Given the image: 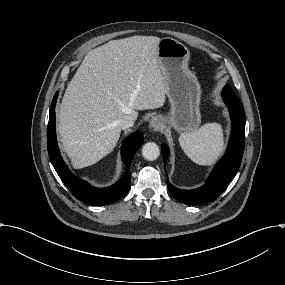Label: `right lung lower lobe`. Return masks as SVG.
<instances>
[{
	"instance_id": "right-lung-lower-lobe-1",
	"label": "right lung lower lobe",
	"mask_w": 285,
	"mask_h": 285,
	"mask_svg": "<svg viewBox=\"0 0 285 285\" xmlns=\"http://www.w3.org/2000/svg\"><path fill=\"white\" fill-rule=\"evenodd\" d=\"M57 97L58 93L56 92L50 106L47 145L51 163L60 179L78 200L89 205H109L118 201L125 196L130 189V164L134 154L143 142L142 134L140 132H135L123 142L121 155L123 162L126 165V171L123 177L113 186L107 188H94L86 181L74 176L69 171L60 155L55 132V104Z\"/></svg>"
}]
</instances>
